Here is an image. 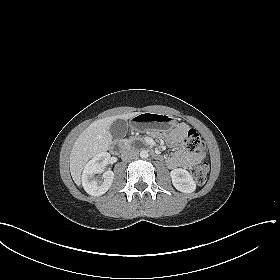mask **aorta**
<instances>
[{
    "label": "aorta",
    "instance_id": "obj_1",
    "mask_svg": "<svg viewBox=\"0 0 280 280\" xmlns=\"http://www.w3.org/2000/svg\"><path fill=\"white\" fill-rule=\"evenodd\" d=\"M140 157H141L142 159L148 158V157H149L148 151H147V150H142V151H140Z\"/></svg>",
    "mask_w": 280,
    "mask_h": 280
}]
</instances>
